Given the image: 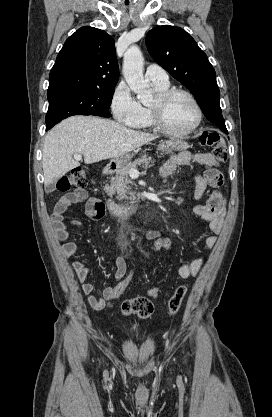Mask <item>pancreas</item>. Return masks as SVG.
<instances>
[{"label": "pancreas", "instance_id": "pancreas-1", "mask_svg": "<svg viewBox=\"0 0 272 417\" xmlns=\"http://www.w3.org/2000/svg\"><path fill=\"white\" fill-rule=\"evenodd\" d=\"M151 157L143 155L133 162L127 163L124 167L116 171L115 177L109 186V189L116 195V199L121 203H127L128 201L134 202L136 200V194L132 191V182L128 177V172L132 168L144 165V167L151 166Z\"/></svg>", "mask_w": 272, "mask_h": 417}]
</instances>
